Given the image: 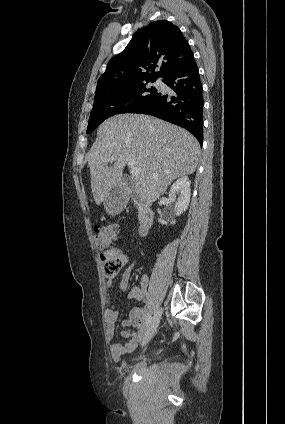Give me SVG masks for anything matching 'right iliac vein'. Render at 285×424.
<instances>
[{
  "mask_svg": "<svg viewBox=\"0 0 285 424\" xmlns=\"http://www.w3.org/2000/svg\"><path fill=\"white\" fill-rule=\"evenodd\" d=\"M161 314H162L161 309H157L152 320H151V322H150L149 328H148L147 332L145 333V335L143 337L142 346L147 345L149 343V341L155 335V333L157 331V327H158L159 322H160Z\"/></svg>",
  "mask_w": 285,
  "mask_h": 424,
  "instance_id": "1",
  "label": "right iliac vein"
}]
</instances>
